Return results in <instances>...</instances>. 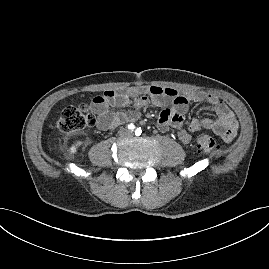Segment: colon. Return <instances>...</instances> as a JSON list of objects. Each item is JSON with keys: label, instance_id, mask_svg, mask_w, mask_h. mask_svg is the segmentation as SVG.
Instances as JSON below:
<instances>
[{"label": "colon", "instance_id": "1", "mask_svg": "<svg viewBox=\"0 0 269 269\" xmlns=\"http://www.w3.org/2000/svg\"><path fill=\"white\" fill-rule=\"evenodd\" d=\"M97 123V114L88 106H67L65 107L56 122L58 134L67 137L86 127L94 126ZM197 148L202 153H212L217 146L212 136L207 133H200L196 137Z\"/></svg>", "mask_w": 269, "mask_h": 269}]
</instances>
